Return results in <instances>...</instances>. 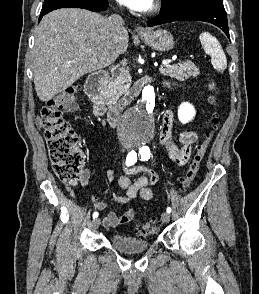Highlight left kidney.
Returning a JSON list of instances; mask_svg holds the SVG:
<instances>
[{
  "label": "left kidney",
  "mask_w": 259,
  "mask_h": 294,
  "mask_svg": "<svg viewBox=\"0 0 259 294\" xmlns=\"http://www.w3.org/2000/svg\"><path fill=\"white\" fill-rule=\"evenodd\" d=\"M195 114L193 105L188 102L182 103L178 108V118L182 124L189 123L193 120Z\"/></svg>",
  "instance_id": "1"
}]
</instances>
